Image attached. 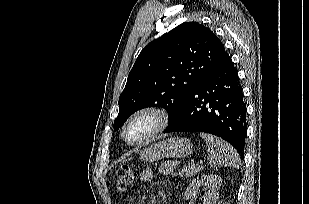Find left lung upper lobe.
Masks as SVG:
<instances>
[{
  "label": "left lung upper lobe",
  "instance_id": "5c2ea615",
  "mask_svg": "<svg viewBox=\"0 0 309 204\" xmlns=\"http://www.w3.org/2000/svg\"><path fill=\"white\" fill-rule=\"evenodd\" d=\"M225 54L222 42L197 22L180 24L150 42L128 75L114 129L118 130L134 112L147 107L164 108L170 120Z\"/></svg>",
  "mask_w": 309,
  "mask_h": 204
}]
</instances>
